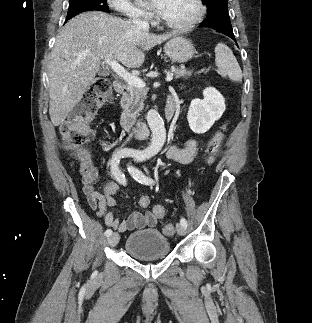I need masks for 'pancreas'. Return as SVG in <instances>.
Instances as JSON below:
<instances>
[{
  "label": "pancreas",
  "instance_id": "obj_1",
  "mask_svg": "<svg viewBox=\"0 0 312 323\" xmlns=\"http://www.w3.org/2000/svg\"><path fill=\"white\" fill-rule=\"evenodd\" d=\"M175 78H188L192 72L187 70H180L175 68ZM126 94H123L121 100V108L126 110L127 114H130L131 118L140 116L139 112L144 108V100L147 98V88H135V86H126Z\"/></svg>",
  "mask_w": 312,
  "mask_h": 323
}]
</instances>
